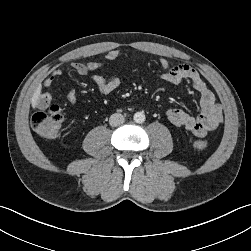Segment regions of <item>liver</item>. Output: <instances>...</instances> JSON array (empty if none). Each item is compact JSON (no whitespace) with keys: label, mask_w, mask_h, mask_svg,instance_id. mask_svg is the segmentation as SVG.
<instances>
[{"label":"liver","mask_w":251,"mask_h":251,"mask_svg":"<svg viewBox=\"0 0 251 251\" xmlns=\"http://www.w3.org/2000/svg\"><path fill=\"white\" fill-rule=\"evenodd\" d=\"M41 88H42L41 85H39V86L36 88V90H35V92H34V94H33V96H32L31 104H32V107H33V108H35V107L37 106L38 100H39L40 95H41Z\"/></svg>","instance_id":"1"}]
</instances>
